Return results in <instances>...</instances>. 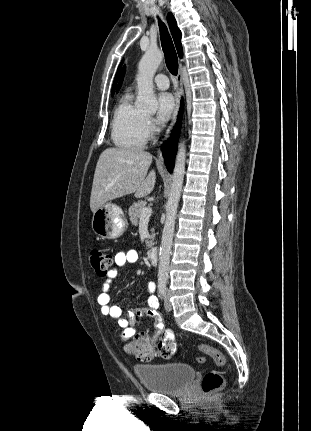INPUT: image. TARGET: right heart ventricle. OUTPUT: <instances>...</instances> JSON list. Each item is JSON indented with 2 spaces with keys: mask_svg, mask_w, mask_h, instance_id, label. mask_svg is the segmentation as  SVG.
<instances>
[{
  "mask_svg": "<svg viewBox=\"0 0 311 431\" xmlns=\"http://www.w3.org/2000/svg\"><path fill=\"white\" fill-rule=\"evenodd\" d=\"M149 137L147 116L132 103L129 93L125 94L113 112L111 140L121 150L142 149Z\"/></svg>",
  "mask_w": 311,
  "mask_h": 431,
  "instance_id": "1",
  "label": "right heart ventricle"
}]
</instances>
